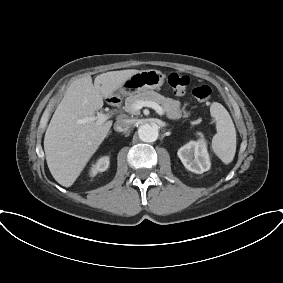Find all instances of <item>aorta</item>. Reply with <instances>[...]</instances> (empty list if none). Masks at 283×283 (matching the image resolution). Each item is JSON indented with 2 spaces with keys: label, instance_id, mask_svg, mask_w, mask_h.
<instances>
[{
  "label": "aorta",
  "instance_id": "aorta-1",
  "mask_svg": "<svg viewBox=\"0 0 283 283\" xmlns=\"http://www.w3.org/2000/svg\"><path fill=\"white\" fill-rule=\"evenodd\" d=\"M159 135L158 126L156 124H143L138 128V136L143 142H154Z\"/></svg>",
  "mask_w": 283,
  "mask_h": 283
}]
</instances>
